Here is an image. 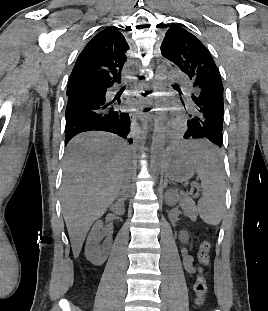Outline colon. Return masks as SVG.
Segmentation results:
<instances>
[{
	"label": "colon",
	"instance_id": "colon-1",
	"mask_svg": "<svg viewBox=\"0 0 268 311\" xmlns=\"http://www.w3.org/2000/svg\"><path fill=\"white\" fill-rule=\"evenodd\" d=\"M211 244L208 240L202 241L198 250V260L201 264L199 273L194 283V293L196 296V303L202 305L204 302L205 294L207 291V284L204 275V266H207L210 262Z\"/></svg>",
	"mask_w": 268,
	"mask_h": 311
}]
</instances>
